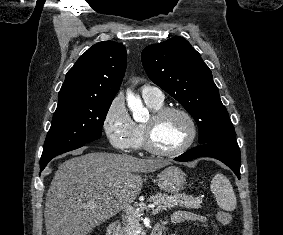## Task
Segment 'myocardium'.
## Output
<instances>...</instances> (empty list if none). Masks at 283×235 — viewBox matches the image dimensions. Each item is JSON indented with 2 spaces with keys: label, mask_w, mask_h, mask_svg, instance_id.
Listing matches in <instances>:
<instances>
[{
  "label": "myocardium",
  "mask_w": 283,
  "mask_h": 235,
  "mask_svg": "<svg viewBox=\"0 0 283 235\" xmlns=\"http://www.w3.org/2000/svg\"><path fill=\"white\" fill-rule=\"evenodd\" d=\"M170 113H178L182 115L188 123L189 134L186 141L178 148L170 151H163L156 148L152 142V125H143V148L152 155L159 157H174L183 154L189 150L196 141L198 128L193 116L184 108L177 106L162 107L153 112L151 123H156Z\"/></svg>",
  "instance_id": "f54148a6"
}]
</instances>
